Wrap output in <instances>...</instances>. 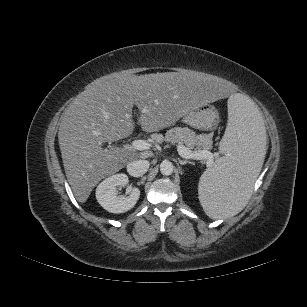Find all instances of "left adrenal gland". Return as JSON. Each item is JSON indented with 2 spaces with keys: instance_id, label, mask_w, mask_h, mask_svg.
<instances>
[{
  "instance_id": "left-adrenal-gland-1",
  "label": "left adrenal gland",
  "mask_w": 307,
  "mask_h": 307,
  "mask_svg": "<svg viewBox=\"0 0 307 307\" xmlns=\"http://www.w3.org/2000/svg\"><path fill=\"white\" fill-rule=\"evenodd\" d=\"M179 163L181 165H186V164H191V165H194L193 162L189 161V160H181V159H178Z\"/></svg>"
}]
</instances>
